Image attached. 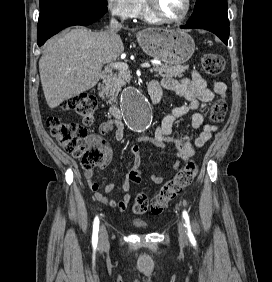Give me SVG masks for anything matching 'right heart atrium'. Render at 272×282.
I'll list each match as a JSON object with an SVG mask.
<instances>
[{
    "mask_svg": "<svg viewBox=\"0 0 272 282\" xmlns=\"http://www.w3.org/2000/svg\"><path fill=\"white\" fill-rule=\"evenodd\" d=\"M108 10L114 17L128 19L135 16L141 8V0H106Z\"/></svg>",
    "mask_w": 272,
    "mask_h": 282,
    "instance_id": "obj_1",
    "label": "right heart atrium"
}]
</instances>
